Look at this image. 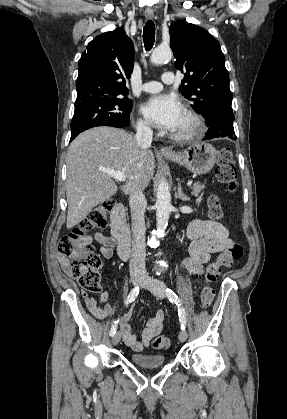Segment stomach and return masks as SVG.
<instances>
[{"instance_id": "obj_1", "label": "stomach", "mask_w": 287, "mask_h": 419, "mask_svg": "<svg viewBox=\"0 0 287 419\" xmlns=\"http://www.w3.org/2000/svg\"><path fill=\"white\" fill-rule=\"evenodd\" d=\"M216 155L217 151L211 144L200 142L189 146L176 156H170L169 159L200 175L213 168Z\"/></svg>"}]
</instances>
